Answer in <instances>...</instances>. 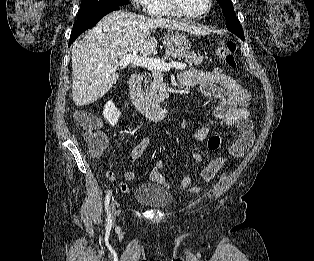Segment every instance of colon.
Returning <instances> with one entry per match:
<instances>
[{
	"instance_id": "1",
	"label": "colon",
	"mask_w": 314,
	"mask_h": 261,
	"mask_svg": "<svg viewBox=\"0 0 314 261\" xmlns=\"http://www.w3.org/2000/svg\"><path fill=\"white\" fill-rule=\"evenodd\" d=\"M217 56L229 67L237 66L236 43L227 41L217 50ZM75 121L83 129V136L88 143L92 154L98 155L107 145V139L103 132L98 129V120L89 112L79 110L75 113ZM222 143L220 135H214L208 140V149L211 152L217 151Z\"/></svg>"
}]
</instances>
